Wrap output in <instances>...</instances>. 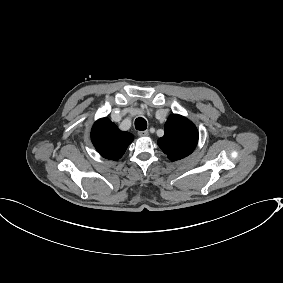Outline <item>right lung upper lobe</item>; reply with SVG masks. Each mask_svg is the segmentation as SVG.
<instances>
[{
    "label": "right lung upper lobe",
    "mask_w": 283,
    "mask_h": 283,
    "mask_svg": "<svg viewBox=\"0 0 283 283\" xmlns=\"http://www.w3.org/2000/svg\"><path fill=\"white\" fill-rule=\"evenodd\" d=\"M91 139L101 156L110 160H118L123 156L134 137L128 132L120 131L108 118H101L93 125Z\"/></svg>",
    "instance_id": "1"
}]
</instances>
